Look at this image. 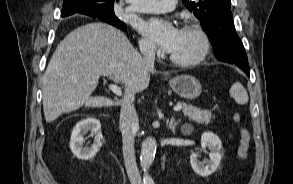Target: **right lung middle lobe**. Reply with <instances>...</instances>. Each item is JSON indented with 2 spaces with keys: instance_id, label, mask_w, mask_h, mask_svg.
I'll return each instance as SVG.
<instances>
[{
  "instance_id": "right-lung-middle-lobe-1",
  "label": "right lung middle lobe",
  "mask_w": 293,
  "mask_h": 184,
  "mask_svg": "<svg viewBox=\"0 0 293 184\" xmlns=\"http://www.w3.org/2000/svg\"><path fill=\"white\" fill-rule=\"evenodd\" d=\"M64 4H66L64 2ZM87 7L91 12L97 15L99 18H105L113 21H119V19L115 16L114 9H104L98 4H87Z\"/></svg>"
}]
</instances>
